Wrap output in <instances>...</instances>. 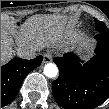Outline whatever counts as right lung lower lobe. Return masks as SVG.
Masks as SVG:
<instances>
[{"instance_id":"obj_1","label":"right lung lower lobe","mask_w":109,"mask_h":109,"mask_svg":"<svg viewBox=\"0 0 109 109\" xmlns=\"http://www.w3.org/2000/svg\"><path fill=\"white\" fill-rule=\"evenodd\" d=\"M42 60V56L32 60L14 58L1 67V107L13 101L26 75L38 67Z\"/></svg>"}]
</instances>
